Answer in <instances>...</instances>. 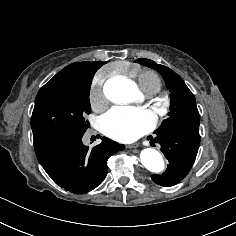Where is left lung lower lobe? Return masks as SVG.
I'll return each mask as SVG.
<instances>
[{"label":"left lung lower lobe","instance_id":"obj_1","mask_svg":"<svg viewBox=\"0 0 236 236\" xmlns=\"http://www.w3.org/2000/svg\"><path fill=\"white\" fill-rule=\"evenodd\" d=\"M169 161L166 171L161 175H152L158 185L170 187L179 183L190 171L195 161L200 135L177 130H167L154 139Z\"/></svg>","mask_w":236,"mask_h":236}]
</instances>
